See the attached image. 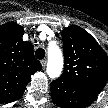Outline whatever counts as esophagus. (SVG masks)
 I'll list each match as a JSON object with an SVG mask.
<instances>
[{
	"mask_svg": "<svg viewBox=\"0 0 108 108\" xmlns=\"http://www.w3.org/2000/svg\"><path fill=\"white\" fill-rule=\"evenodd\" d=\"M41 64H42V67L45 68L46 67V64H47V60H42L41 61Z\"/></svg>",
	"mask_w": 108,
	"mask_h": 108,
	"instance_id": "esophagus-1",
	"label": "esophagus"
}]
</instances>
